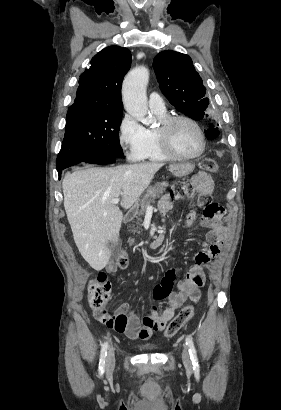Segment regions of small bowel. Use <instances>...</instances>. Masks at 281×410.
<instances>
[{"label":"small bowel","instance_id":"c3829d8e","mask_svg":"<svg viewBox=\"0 0 281 410\" xmlns=\"http://www.w3.org/2000/svg\"><path fill=\"white\" fill-rule=\"evenodd\" d=\"M193 189L200 195H211L214 184L211 177L203 172L196 173L192 179ZM172 208V199L170 195H164L159 201V211L161 214H167ZM222 216L204 217L198 220L194 211H189L186 215V220L189 225L199 224L209 229L206 235V243L204 248L195 256L193 265L184 280H181L176 285V290L173 291L175 283L176 269H168L160 283L153 288L154 299L161 301L167 300L168 307L161 313L157 306L153 305L149 309V313L140 321L135 316L128 315L129 306L126 303L118 307L117 315H122L127 318V326L122 330H116L123 333L129 339H149L154 332L162 331L168 321L175 315L176 311L183 305L187 298H198L199 289L205 284V275L203 266L211 259L220 255L222 245L226 237V230L222 224ZM108 273L117 271L115 263H109L106 266Z\"/></svg>","mask_w":281,"mask_h":410}]
</instances>
